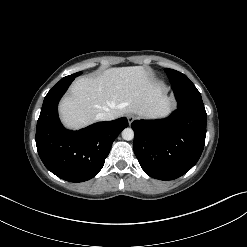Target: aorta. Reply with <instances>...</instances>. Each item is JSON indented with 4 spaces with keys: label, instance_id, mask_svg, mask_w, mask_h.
<instances>
[{
    "label": "aorta",
    "instance_id": "1",
    "mask_svg": "<svg viewBox=\"0 0 247 247\" xmlns=\"http://www.w3.org/2000/svg\"><path fill=\"white\" fill-rule=\"evenodd\" d=\"M122 138L127 141L132 140L134 138V131L131 128H125L122 131Z\"/></svg>",
    "mask_w": 247,
    "mask_h": 247
}]
</instances>
